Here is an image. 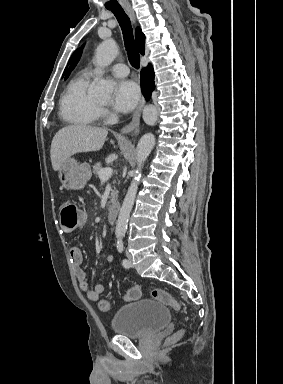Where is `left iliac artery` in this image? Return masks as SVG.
Wrapping results in <instances>:
<instances>
[{"label":"left iliac artery","mask_w":283,"mask_h":384,"mask_svg":"<svg viewBox=\"0 0 283 384\" xmlns=\"http://www.w3.org/2000/svg\"><path fill=\"white\" fill-rule=\"evenodd\" d=\"M117 250H118L119 253H122L123 250H124V245H123V241H122V239H119V240L117 241ZM122 265H123L125 268H129V262H128V260H127V259H123V260H122Z\"/></svg>","instance_id":"obj_1"}]
</instances>
